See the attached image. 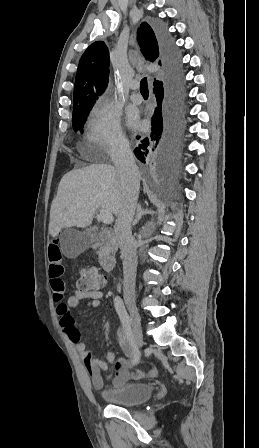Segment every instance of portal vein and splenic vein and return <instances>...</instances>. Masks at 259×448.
Returning a JSON list of instances; mask_svg holds the SVG:
<instances>
[{
	"label": "portal vein and splenic vein",
	"mask_w": 259,
	"mask_h": 448,
	"mask_svg": "<svg viewBox=\"0 0 259 448\" xmlns=\"http://www.w3.org/2000/svg\"><path fill=\"white\" fill-rule=\"evenodd\" d=\"M100 218H101L103 224H112V222H114V218H113L111 212H107V210H101Z\"/></svg>",
	"instance_id": "1"
}]
</instances>
